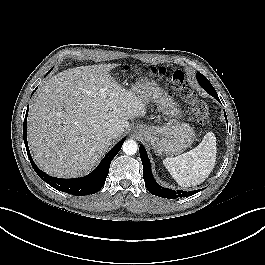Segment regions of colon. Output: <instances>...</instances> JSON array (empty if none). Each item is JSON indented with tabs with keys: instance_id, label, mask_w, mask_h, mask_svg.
Here are the masks:
<instances>
[{
	"instance_id": "1",
	"label": "colon",
	"mask_w": 265,
	"mask_h": 265,
	"mask_svg": "<svg viewBox=\"0 0 265 265\" xmlns=\"http://www.w3.org/2000/svg\"><path fill=\"white\" fill-rule=\"evenodd\" d=\"M144 70L151 76L167 81L186 100L192 120L201 125L207 122L209 107L196 95L182 71L162 67H146Z\"/></svg>"
}]
</instances>
